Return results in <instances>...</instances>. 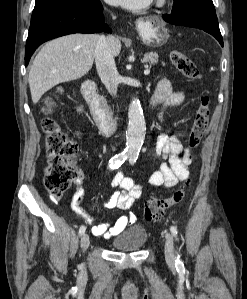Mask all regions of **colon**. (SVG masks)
<instances>
[{"instance_id": "1", "label": "colon", "mask_w": 247, "mask_h": 299, "mask_svg": "<svg viewBox=\"0 0 247 299\" xmlns=\"http://www.w3.org/2000/svg\"><path fill=\"white\" fill-rule=\"evenodd\" d=\"M170 58L173 65L186 78L193 81L200 79V71L197 65L186 54L174 50L171 52ZM209 103V97L205 94L201 95L200 104L188 135L190 148H196L200 144L207 130L210 119ZM54 105L55 99L49 98L44 109L46 116L41 123L45 135L46 150L44 184L54 197H60L76 177L74 160L78 147L52 117ZM184 195L185 185H182L170 197L149 199L144 210L146 221L156 222L160 220L168 208L182 201Z\"/></svg>"}]
</instances>
